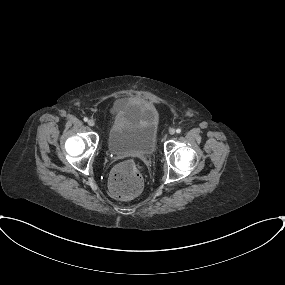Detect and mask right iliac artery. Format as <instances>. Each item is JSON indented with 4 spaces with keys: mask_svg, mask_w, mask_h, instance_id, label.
Masks as SVG:
<instances>
[{
    "mask_svg": "<svg viewBox=\"0 0 285 285\" xmlns=\"http://www.w3.org/2000/svg\"><path fill=\"white\" fill-rule=\"evenodd\" d=\"M83 120H84V122H87V121H88V118H87V117H85Z\"/></svg>",
    "mask_w": 285,
    "mask_h": 285,
    "instance_id": "82829eb1",
    "label": "right iliac artery"
}]
</instances>
